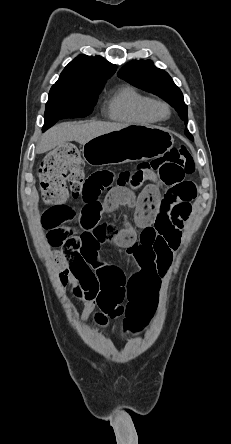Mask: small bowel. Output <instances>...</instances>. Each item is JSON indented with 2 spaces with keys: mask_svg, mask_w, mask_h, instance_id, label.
I'll return each mask as SVG.
<instances>
[{
  "mask_svg": "<svg viewBox=\"0 0 231 444\" xmlns=\"http://www.w3.org/2000/svg\"><path fill=\"white\" fill-rule=\"evenodd\" d=\"M117 176L108 169L90 175L80 196L83 203L80 211L67 206L72 214L70 224L50 230L47 235L52 246L62 247L61 253L55 254L61 283L70 280L78 283V295L85 304L82 320L93 316L100 326H107L110 319L124 314L125 299L130 300L150 284L159 287L173 252L180 244L183 223L197 194L196 185L191 181H185L177 189L169 188L162 194L163 183L152 180V175L128 188L114 186ZM146 181L150 182L144 186ZM143 186L137 197L136 191ZM104 190L109 193L101 199ZM180 204L188 207L186 217L174 214L175 207ZM125 206L134 207L133 223L141 230L138 238L130 223L118 229L102 221L105 214ZM105 246L111 247L121 263L129 267V276L119 265L107 262ZM64 250L77 251L83 265L69 269ZM71 308L76 313L75 308Z\"/></svg>",
  "mask_w": 231,
  "mask_h": 444,
  "instance_id": "c3829d8e",
  "label": "small bowel"
}]
</instances>
